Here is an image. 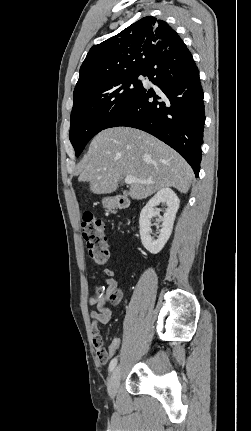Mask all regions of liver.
Masks as SVG:
<instances>
[{
  "label": "liver",
  "mask_w": 251,
  "mask_h": 431,
  "mask_svg": "<svg viewBox=\"0 0 251 431\" xmlns=\"http://www.w3.org/2000/svg\"><path fill=\"white\" fill-rule=\"evenodd\" d=\"M126 176L151 181L131 184L130 197L141 200L168 187L187 193L194 174L175 150L152 135L130 127L105 129L92 140L79 181L89 182L94 194H109Z\"/></svg>",
  "instance_id": "1"
}]
</instances>
